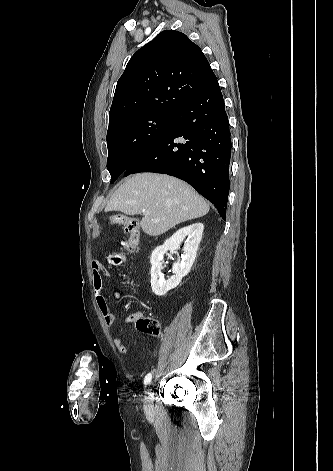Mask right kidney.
<instances>
[{
  "mask_svg": "<svg viewBox=\"0 0 333 471\" xmlns=\"http://www.w3.org/2000/svg\"><path fill=\"white\" fill-rule=\"evenodd\" d=\"M204 226L202 223H195L181 228L165 241L162 246H158L151 255V287L157 296H164L169 290L179 285L182 278L186 276L195 261L199 243L202 239ZM186 239L184 246V255L181 261L173 265V273L169 279L165 280L162 276L163 257L168 250L180 249L183 239Z\"/></svg>",
  "mask_w": 333,
  "mask_h": 471,
  "instance_id": "obj_1",
  "label": "right kidney"
}]
</instances>
